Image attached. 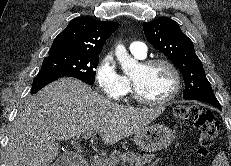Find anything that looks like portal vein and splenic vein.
Listing matches in <instances>:
<instances>
[{
  "mask_svg": "<svg viewBox=\"0 0 231 166\" xmlns=\"http://www.w3.org/2000/svg\"><path fill=\"white\" fill-rule=\"evenodd\" d=\"M95 135V132H88L82 135V138L89 139Z\"/></svg>",
  "mask_w": 231,
  "mask_h": 166,
  "instance_id": "obj_1",
  "label": "portal vein and splenic vein"
}]
</instances>
